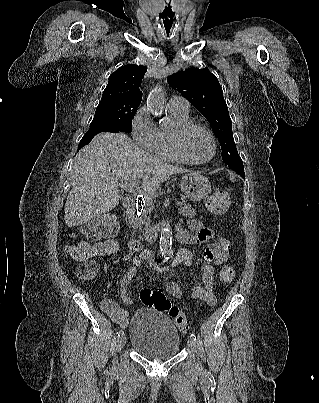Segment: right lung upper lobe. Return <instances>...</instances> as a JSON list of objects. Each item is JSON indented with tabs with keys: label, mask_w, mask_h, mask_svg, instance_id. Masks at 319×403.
Returning a JSON list of instances; mask_svg holds the SVG:
<instances>
[{
	"label": "right lung upper lobe",
	"mask_w": 319,
	"mask_h": 403,
	"mask_svg": "<svg viewBox=\"0 0 319 403\" xmlns=\"http://www.w3.org/2000/svg\"><path fill=\"white\" fill-rule=\"evenodd\" d=\"M146 71V67L132 64L117 69L110 75L99 104L118 103L138 107L142 99L139 87Z\"/></svg>",
	"instance_id": "1"
}]
</instances>
